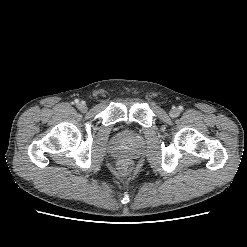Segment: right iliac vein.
Here are the masks:
<instances>
[{
    "mask_svg": "<svg viewBox=\"0 0 247 247\" xmlns=\"http://www.w3.org/2000/svg\"><path fill=\"white\" fill-rule=\"evenodd\" d=\"M77 108L81 111V112H86L87 111V105L83 102L79 103L77 105Z\"/></svg>",
    "mask_w": 247,
    "mask_h": 247,
    "instance_id": "63e3f726",
    "label": "right iliac vein"
}]
</instances>
